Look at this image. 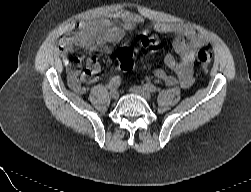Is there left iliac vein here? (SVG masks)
Listing matches in <instances>:
<instances>
[{
	"instance_id": "1",
	"label": "left iliac vein",
	"mask_w": 251,
	"mask_h": 192,
	"mask_svg": "<svg viewBox=\"0 0 251 192\" xmlns=\"http://www.w3.org/2000/svg\"><path fill=\"white\" fill-rule=\"evenodd\" d=\"M131 91L134 93V94H137L141 97H143L144 99L146 100H150L151 99V93L145 89L144 87H141V86H133L131 88Z\"/></svg>"
}]
</instances>
